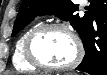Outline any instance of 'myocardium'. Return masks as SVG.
<instances>
[{
    "instance_id": "f54148a6",
    "label": "myocardium",
    "mask_w": 107,
    "mask_h": 75,
    "mask_svg": "<svg viewBox=\"0 0 107 75\" xmlns=\"http://www.w3.org/2000/svg\"><path fill=\"white\" fill-rule=\"evenodd\" d=\"M50 30H59L65 32L73 40L75 45V56L73 60L65 65H51L42 61L34 51L36 39L43 33ZM24 56L26 60L34 67L47 71H65L76 67L83 57V46L77 35L66 25L62 23H45L35 27L26 37L24 42Z\"/></svg>"
}]
</instances>
